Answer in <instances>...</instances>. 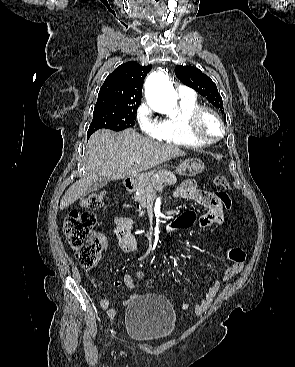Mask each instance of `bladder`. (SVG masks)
<instances>
[{
    "label": "bladder",
    "instance_id": "bladder-1",
    "mask_svg": "<svg viewBox=\"0 0 295 367\" xmlns=\"http://www.w3.org/2000/svg\"><path fill=\"white\" fill-rule=\"evenodd\" d=\"M177 314L162 295L137 296L125 310V331L129 337L145 342L168 339L175 331Z\"/></svg>",
    "mask_w": 295,
    "mask_h": 367
}]
</instances>
